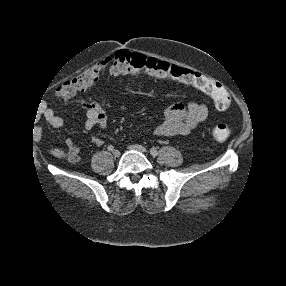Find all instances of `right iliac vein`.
Wrapping results in <instances>:
<instances>
[{
  "label": "right iliac vein",
  "instance_id": "obj_1",
  "mask_svg": "<svg viewBox=\"0 0 286 286\" xmlns=\"http://www.w3.org/2000/svg\"><path fill=\"white\" fill-rule=\"evenodd\" d=\"M112 154H113L114 157H119L120 156V152L118 150H114L112 152Z\"/></svg>",
  "mask_w": 286,
  "mask_h": 286
}]
</instances>
